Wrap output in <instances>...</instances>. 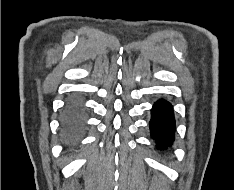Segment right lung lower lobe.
<instances>
[{
    "label": "right lung lower lobe",
    "mask_w": 234,
    "mask_h": 190,
    "mask_svg": "<svg viewBox=\"0 0 234 190\" xmlns=\"http://www.w3.org/2000/svg\"><path fill=\"white\" fill-rule=\"evenodd\" d=\"M85 113L78 101H71L62 118V135L68 144L76 143L84 132Z\"/></svg>",
    "instance_id": "right-lung-lower-lobe-1"
}]
</instances>
